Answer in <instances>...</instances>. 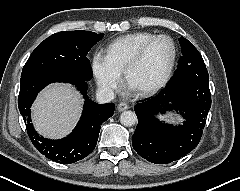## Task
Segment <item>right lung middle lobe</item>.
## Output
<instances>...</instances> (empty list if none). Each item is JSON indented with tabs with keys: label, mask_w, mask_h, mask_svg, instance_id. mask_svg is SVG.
I'll return each instance as SVG.
<instances>
[{
	"label": "right lung middle lobe",
	"mask_w": 240,
	"mask_h": 191,
	"mask_svg": "<svg viewBox=\"0 0 240 191\" xmlns=\"http://www.w3.org/2000/svg\"><path fill=\"white\" fill-rule=\"evenodd\" d=\"M102 37L103 33L83 30L55 33L34 49L22 74L57 70L89 81L93 73L86 55Z\"/></svg>",
	"instance_id": "dd1d6c3e"
}]
</instances>
